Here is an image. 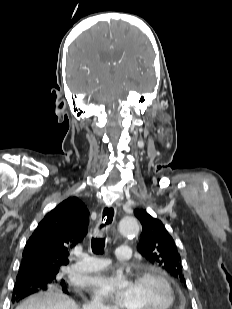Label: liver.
<instances>
[{"instance_id": "1", "label": "liver", "mask_w": 232, "mask_h": 309, "mask_svg": "<svg viewBox=\"0 0 232 309\" xmlns=\"http://www.w3.org/2000/svg\"><path fill=\"white\" fill-rule=\"evenodd\" d=\"M16 309H79V307L61 291L50 289L28 297Z\"/></svg>"}]
</instances>
